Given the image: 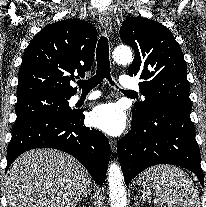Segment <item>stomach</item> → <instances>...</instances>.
Instances as JSON below:
<instances>
[{
    "label": "stomach",
    "instance_id": "1",
    "mask_svg": "<svg viewBox=\"0 0 206 207\" xmlns=\"http://www.w3.org/2000/svg\"><path fill=\"white\" fill-rule=\"evenodd\" d=\"M136 184H137L142 190H145L146 187L144 186L142 180H137V181H136Z\"/></svg>",
    "mask_w": 206,
    "mask_h": 207
}]
</instances>
